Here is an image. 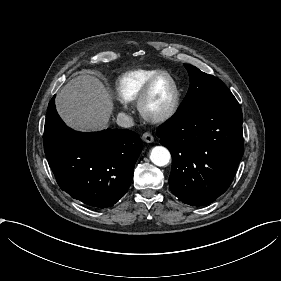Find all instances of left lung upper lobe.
<instances>
[{"label":"left lung upper lobe","instance_id":"1","mask_svg":"<svg viewBox=\"0 0 281 281\" xmlns=\"http://www.w3.org/2000/svg\"><path fill=\"white\" fill-rule=\"evenodd\" d=\"M184 66L189 73L190 87L178 111L235 99L220 79L206 74L192 65L184 64Z\"/></svg>","mask_w":281,"mask_h":281}]
</instances>
